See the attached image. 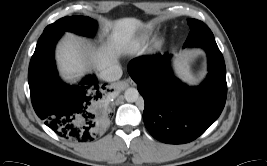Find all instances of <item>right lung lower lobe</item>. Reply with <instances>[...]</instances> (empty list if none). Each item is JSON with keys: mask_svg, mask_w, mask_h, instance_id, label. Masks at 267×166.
Segmentation results:
<instances>
[{"mask_svg": "<svg viewBox=\"0 0 267 166\" xmlns=\"http://www.w3.org/2000/svg\"><path fill=\"white\" fill-rule=\"evenodd\" d=\"M63 35L45 31L40 36L29 65L31 101L38 117L59 136L74 142L92 141L110 119L106 84L87 76L78 85H68L59 77L54 48Z\"/></svg>", "mask_w": 267, "mask_h": 166, "instance_id": "1", "label": "right lung lower lobe"}]
</instances>
